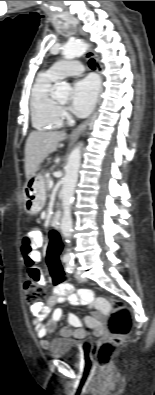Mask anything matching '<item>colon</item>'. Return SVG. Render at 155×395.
<instances>
[{"label": "colon", "instance_id": "5ec220e1", "mask_svg": "<svg viewBox=\"0 0 155 395\" xmlns=\"http://www.w3.org/2000/svg\"><path fill=\"white\" fill-rule=\"evenodd\" d=\"M50 233V244L46 245V255L44 257L45 262H47L46 271L49 272V277L53 279V288H65L66 283H72L69 280L71 274L70 272H63L64 266L59 255L63 251V245L67 244V239L58 234V228H51ZM24 294L26 303L33 305L45 298L46 291L43 285L29 276L24 281ZM110 301L113 304V311L109 315L108 322L110 336L100 341L94 352L96 361L102 368L110 364L118 346L129 334L133 319L130 309L123 302Z\"/></svg>", "mask_w": 155, "mask_h": 395}]
</instances>
